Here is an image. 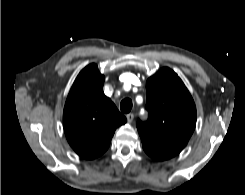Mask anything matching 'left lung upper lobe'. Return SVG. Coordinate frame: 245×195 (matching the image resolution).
Masks as SVG:
<instances>
[{
    "instance_id": "left-lung-upper-lobe-1",
    "label": "left lung upper lobe",
    "mask_w": 245,
    "mask_h": 195,
    "mask_svg": "<svg viewBox=\"0 0 245 195\" xmlns=\"http://www.w3.org/2000/svg\"><path fill=\"white\" fill-rule=\"evenodd\" d=\"M146 96L148 120L137 121L142 143L179 154L196 125V107L189 91L173 70L162 68L147 80Z\"/></svg>"
}]
</instances>
